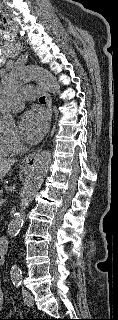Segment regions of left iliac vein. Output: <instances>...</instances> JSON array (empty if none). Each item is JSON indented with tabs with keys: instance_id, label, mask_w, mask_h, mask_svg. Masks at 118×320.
<instances>
[{
	"instance_id": "obj_1",
	"label": "left iliac vein",
	"mask_w": 118,
	"mask_h": 320,
	"mask_svg": "<svg viewBox=\"0 0 118 320\" xmlns=\"http://www.w3.org/2000/svg\"><path fill=\"white\" fill-rule=\"evenodd\" d=\"M22 295H23V300H24L25 304L29 307H32L34 305V300H33L32 294L28 290L23 289Z\"/></svg>"
}]
</instances>
